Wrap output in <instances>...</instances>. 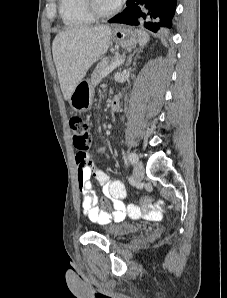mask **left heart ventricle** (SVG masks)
I'll use <instances>...</instances> for the list:
<instances>
[{
    "label": "left heart ventricle",
    "instance_id": "b2bd125f",
    "mask_svg": "<svg viewBox=\"0 0 227 298\" xmlns=\"http://www.w3.org/2000/svg\"><path fill=\"white\" fill-rule=\"evenodd\" d=\"M95 4L96 7L102 12L109 11L115 6L111 0H95Z\"/></svg>",
    "mask_w": 227,
    "mask_h": 298
}]
</instances>
